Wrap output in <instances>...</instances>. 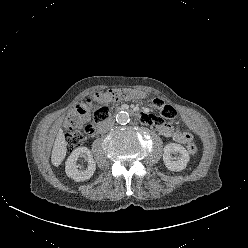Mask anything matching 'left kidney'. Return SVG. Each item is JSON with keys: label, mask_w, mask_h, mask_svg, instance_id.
Returning a JSON list of instances; mask_svg holds the SVG:
<instances>
[{"label": "left kidney", "mask_w": 248, "mask_h": 248, "mask_svg": "<svg viewBox=\"0 0 248 248\" xmlns=\"http://www.w3.org/2000/svg\"><path fill=\"white\" fill-rule=\"evenodd\" d=\"M172 154H179V156L173 157ZM189 160V153L182 145L169 143L164 147L163 161L167 169L171 171H182L186 168Z\"/></svg>", "instance_id": "left-kidney-1"}]
</instances>
